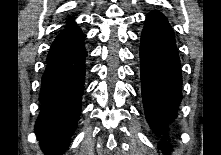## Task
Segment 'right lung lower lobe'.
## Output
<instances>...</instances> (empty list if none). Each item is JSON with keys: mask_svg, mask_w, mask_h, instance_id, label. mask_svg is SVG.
Here are the masks:
<instances>
[{"mask_svg": "<svg viewBox=\"0 0 221 155\" xmlns=\"http://www.w3.org/2000/svg\"><path fill=\"white\" fill-rule=\"evenodd\" d=\"M85 35L75 23L55 38L46 59L35 133L45 155H61L69 145L81 112L84 91Z\"/></svg>", "mask_w": 221, "mask_h": 155, "instance_id": "1", "label": "right lung lower lobe"}]
</instances>
